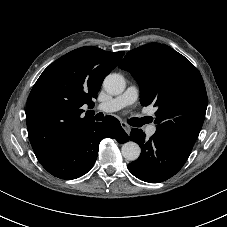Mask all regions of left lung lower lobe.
<instances>
[{
    "label": "left lung lower lobe",
    "mask_w": 227,
    "mask_h": 227,
    "mask_svg": "<svg viewBox=\"0 0 227 227\" xmlns=\"http://www.w3.org/2000/svg\"><path fill=\"white\" fill-rule=\"evenodd\" d=\"M130 140L139 144L141 154L136 161L128 164V169L135 177L149 183L163 182L174 176L191 153V150L157 131L147 140L141 129L133 128Z\"/></svg>",
    "instance_id": "1"
}]
</instances>
